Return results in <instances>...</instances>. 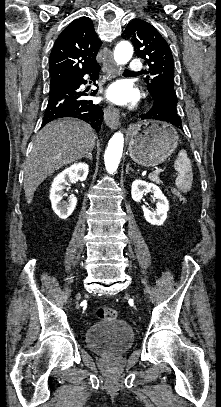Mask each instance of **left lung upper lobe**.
<instances>
[{
  "label": "left lung upper lobe",
  "mask_w": 221,
  "mask_h": 407,
  "mask_svg": "<svg viewBox=\"0 0 221 407\" xmlns=\"http://www.w3.org/2000/svg\"><path fill=\"white\" fill-rule=\"evenodd\" d=\"M122 37L132 41L136 55L146 60L149 66L151 77L147 76L145 81L151 96L168 91L176 97L173 56L157 29L146 21L134 19L127 25Z\"/></svg>",
  "instance_id": "1"
}]
</instances>
